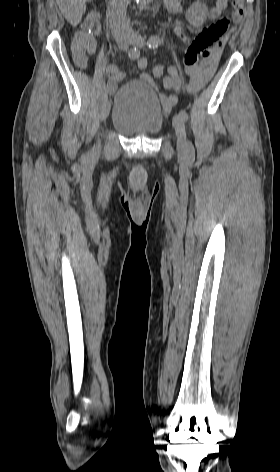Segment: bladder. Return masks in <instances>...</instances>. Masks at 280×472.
<instances>
[{
    "label": "bladder",
    "mask_w": 280,
    "mask_h": 472,
    "mask_svg": "<svg viewBox=\"0 0 280 472\" xmlns=\"http://www.w3.org/2000/svg\"><path fill=\"white\" fill-rule=\"evenodd\" d=\"M112 126L126 136L153 137L164 124V111L155 89L148 83L132 80L114 95Z\"/></svg>",
    "instance_id": "obj_1"
}]
</instances>
